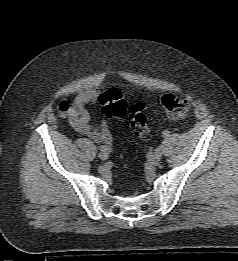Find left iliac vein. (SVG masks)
I'll return each mask as SVG.
<instances>
[{
	"label": "left iliac vein",
	"mask_w": 238,
	"mask_h": 261,
	"mask_svg": "<svg viewBox=\"0 0 238 261\" xmlns=\"http://www.w3.org/2000/svg\"><path fill=\"white\" fill-rule=\"evenodd\" d=\"M162 155H163V149H162V147H158V148L155 150L154 154L152 155L151 161H152L153 163L159 162L160 159L162 158Z\"/></svg>",
	"instance_id": "obj_1"
}]
</instances>
